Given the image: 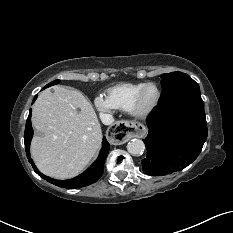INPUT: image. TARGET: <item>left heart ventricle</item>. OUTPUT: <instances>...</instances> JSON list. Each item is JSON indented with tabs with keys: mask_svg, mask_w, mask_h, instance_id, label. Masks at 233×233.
<instances>
[{
	"mask_svg": "<svg viewBox=\"0 0 233 233\" xmlns=\"http://www.w3.org/2000/svg\"><path fill=\"white\" fill-rule=\"evenodd\" d=\"M157 97V91L154 87L149 86L144 90L143 96H142V106L148 107L150 106Z\"/></svg>",
	"mask_w": 233,
	"mask_h": 233,
	"instance_id": "left-heart-ventricle-1",
	"label": "left heart ventricle"
}]
</instances>
